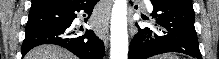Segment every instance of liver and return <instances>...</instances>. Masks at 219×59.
Segmentation results:
<instances>
[{
  "mask_svg": "<svg viewBox=\"0 0 219 59\" xmlns=\"http://www.w3.org/2000/svg\"><path fill=\"white\" fill-rule=\"evenodd\" d=\"M24 59H77L69 51L54 45H41L30 50Z\"/></svg>",
  "mask_w": 219,
  "mask_h": 59,
  "instance_id": "obj_1",
  "label": "liver"
}]
</instances>
